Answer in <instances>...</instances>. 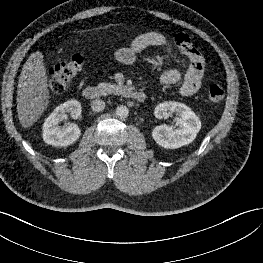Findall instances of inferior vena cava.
I'll use <instances>...</instances> for the list:
<instances>
[{
    "instance_id": "1",
    "label": "inferior vena cava",
    "mask_w": 263,
    "mask_h": 263,
    "mask_svg": "<svg viewBox=\"0 0 263 263\" xmlns=\"http://www.w3.org/2000/svg\"><path fill=\"white\" fill-rule=\"evenodd\" d=\"M105 108V102L101 99H95L91 102V109L95 112H101Z\"/></svg>"
}]
</instances>
